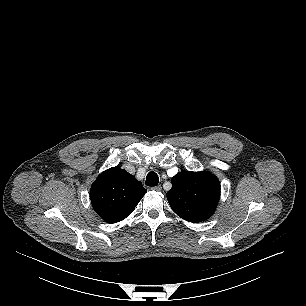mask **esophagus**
I'll return each mask as SVG.
<instances>
[{"mask_svg": "<svg viewBox=\"0 0 306 306\" xmlns=\"http://www.w3.org/2000/svg\"><path fill=\"white\" fill-rule=\"evenodd\" d=\"M151 189L154 190V191H161L162 187H161V185H157L155 187H152Z\"/></svg>", "mask_w": 306, "mask_h": 306, "instance_id": "1", "label": "esophagus"}]
</instances>
